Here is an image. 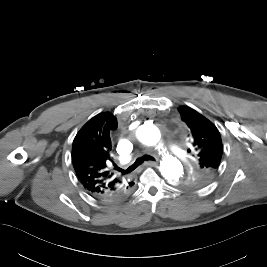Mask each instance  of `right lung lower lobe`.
Instances as JSON below:
<instances>
[{
  "label": "right lung lower lobe",
  "instance_id": "right-lung-lower-lobe-1",
  "mask_svg": "<svg viewBox=\"0 0 267 267\" xmlns=\"http://www.w3.org/2000/svg\"><path fill=\"white\" fill-rule=\"evenodd\" d=\"M133 185H134V182L130 181V182H128V184H125L123 186V188L115 195H110L108 197H97V196H95V197L100 199V200L107 201V202L119 201V200L127 197L131 193Z\"/></svg>",
  "mask_w": 267,
  "mask_h": 267
}]
</instances>
